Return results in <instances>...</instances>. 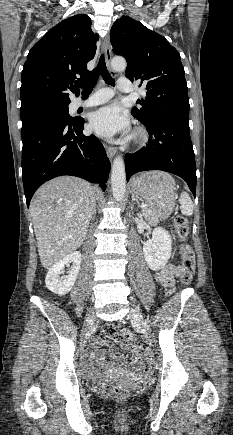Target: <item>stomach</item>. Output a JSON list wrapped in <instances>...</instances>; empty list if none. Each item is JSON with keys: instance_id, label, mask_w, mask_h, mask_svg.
I'll return each instance as SVG.
<instances>
[{"instance_id": "1", "label": "stomach", "mask_w": 233, "mask_h": 435, "mask_svg": "<svg viewBox=\"0 0 233 435\" xmlns=\"http://www.w3.org/2000/svg\"><path fill=\"white\" fill-rule=\"evenodd\" d=\"M131 190L142 197L159 218H167L175 206V182L165 172L150 171L131 180Z\"/></svg>"}]
</instances>
